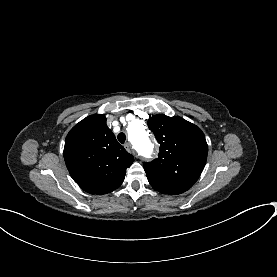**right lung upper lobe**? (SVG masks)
Instances as JSON below:
<instances>
[{"instance_id":"cb5924a9","label":"right lung upper lobe","mask_w":277,"mask_h":277,"mask_svg":"<svg viewBox=\"0 0 277 277\" xmlns=\"http://www.w3.org/2000/svg\"><path fill=\"white\" fill-rule=\"evenodd\" d=\"M64 159L73 180L87 193L117 189L133 163L106 125L104 115H91L76 124L65 140Z\"/></svg>"}]
</instances>
